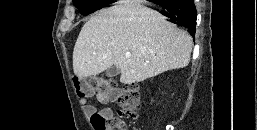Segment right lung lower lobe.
<instances>
[{
  "instance_id": "right-lung-lower-lobe-1",
  "label": "right lung lower lobe",
  "mask_w": 257,
  "mask_h": 130,
  "mask_svg": "<svg viewBox=\"0 0 257 130\" xmlns=\"http://www.w3.org/2000/svg\"><path fill=\"white\" fill-rule=\"evenodd\" d=\"M158 4L164 9L163 15L168 21L185 27L195 36L197 12L193 0L160 1Z\"/></svg>"
}]
</instances>
